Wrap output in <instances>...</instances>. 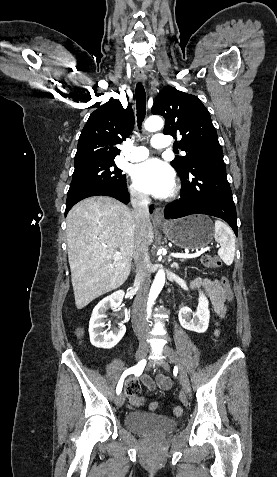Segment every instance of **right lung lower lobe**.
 I'll return each mask as SVG.
<instances>
[{"label":"right lung lower lobe","mask_w":277,"mask_h":477,"mask_svg":"<svg viewBox=\"0 0 277 477\" xmlns=\"http://www.w3.org/2000/svg\"><path fill=\"white\" fill-rule=\"evenodd\" d=\"M110 196L113 198L118 199L119 201L128 204L130 197L129 193L127 190V187L125 188H120V189H115V188H108V187H100V188H95L92 190H89L87 192L82 193L78 197H76L73 201L66 203V210H65V216L67 215L68 211L79 201L82 199L91 197V196ZM153 206H150V212H152Z\"/></svg>","instance_id":"obj_1"}]
</instances>
